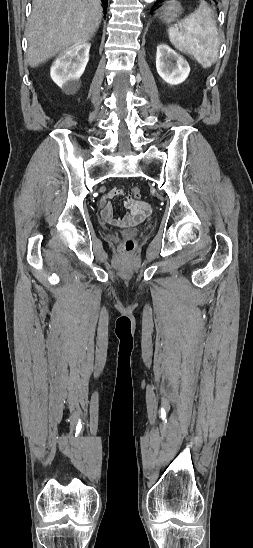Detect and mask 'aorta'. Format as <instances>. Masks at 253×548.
Instances as JSON below:
<instances>
[{
	"mask_svg": "<svg viewBox=\"0 0 253 548\" xmlns=\"http://www.w3.org/2000/svg\"><path fill=\"white\" fill-rule=\"evenodd\" d=\"M146 3H153L156 0H144Z\"/></svg>",
	"mask_w": 253,
	"mask_h": 548,
	"instance_id": "aorta-1",
	"label": "aorta"
}]
</instances>
